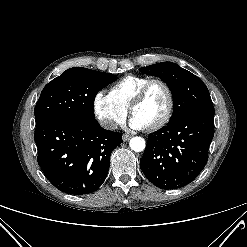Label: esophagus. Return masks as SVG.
Masks as SVG:
<instances>
[{
	"instance_id": "34e87169",
	"label": "esophagus",
	"mask_w": 247,
	"mask_h": 247,
	"mask_svg": "<svg viewBox=\"0 0 247 247\" xmlns=\"http://www.w3.org/2000/svg\"><path fill=\"white\" fill-rule=\"evenodd\" d=\"M123 141H128L131 138V135L129 134H123Z\"/></svg>"
}]
</instances>
